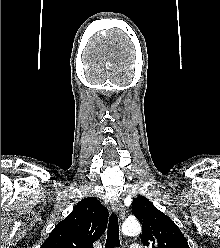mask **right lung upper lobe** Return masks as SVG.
I'll use <instances>...</instances> for the list:
<instances>
[{"label": "right lung upper lobe", "instance_id": "cb5924a9", "mask_svg": "<svg viewBox=\"0 0 220 248\" xmlns=\"http://www.w3.org/2000/svg\"><path fill=\"white\" fill-rule=\"evenodd\" d=\"M108 210L96 198L81 200L41 248H93L107 227Z\"/></svg>", "mask_w": 220, "mask_h": 248}]
</instances>
